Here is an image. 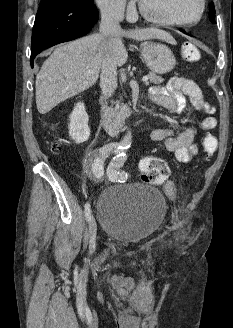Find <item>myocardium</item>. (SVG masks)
I'll return each mask as SVG.
<instances>
[{"instance_id": "1", "label": "myocardium", "mask_w": 233, "mask_h": 328, "mask_svg": "<svg viewBox=\"0 0 233 328\" xmlns=\"http://www.w3.org/2000/svg\"><path fill=\"white\" fill-rule=\"evenodd\" d=\"M200 10L197 17L191 21H177L160 18L158 16L152 15L149 13L145 7L142 5L141 0L138 3L139 12L143 18L147 21L152 22L161 26H174V27H191L197 25L204 17L206 10V0H199Z\"/></svg>"}]
</instances>
